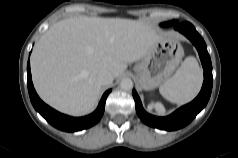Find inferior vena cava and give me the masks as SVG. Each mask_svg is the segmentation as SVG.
Here are the masks:
<instances>
[{
    "label": "inferior vena cava",
    "instance_id": "1",
    "mask_svg": "<svg viewBox=\"0 0 238 158\" xmlns=\"http://www.w3.org/2000/svg\"><path fill=\"white\" fill-rule=\"evenodd\" d=\"M97 80L102 86H109L113 81L112 74L107 70H101L97 73Z\"/></svg>",
    "mask_w": 238,
    "mask_h": 158
}]
</instances>
